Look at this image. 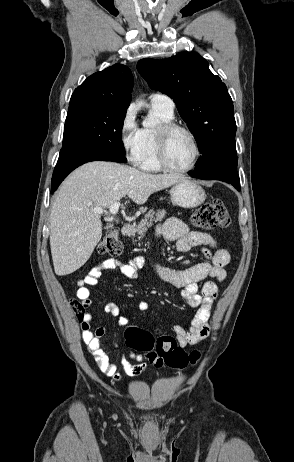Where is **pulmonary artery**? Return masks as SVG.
I'll use <instances>...</instances> for the list:
<instances>
[{
  "instance_id": "pulmonary-artery-1",
  "label": "pulmonary artery",
  "mask_w": 294,
  "mask_h": 462,
  "mask_svg": "<svg viewBox=\"0 0 294 462\" xmlns=\"http://www.w3.org/2000/svg\"><path fill=\"white\" fill-rule=\"evenodd\" d=\"M150 104L154 108L164 110L167 113L173 114L175 109L174 101L167 95L162 93H154L150 96Z\"/></svg>"
}]
</instances>
